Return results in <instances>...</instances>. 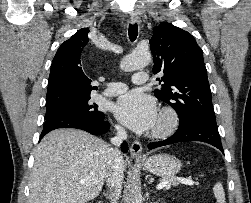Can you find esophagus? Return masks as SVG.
<instances>
[{
	"label": "esophagus",
	"instance_id": "34e87169",
	"mask_svg": "<svg viewBox=\"0 0 251 203\" xmlns=\"http://www.w3.org/2000/svg\"><path fill=\"white\" fill-rule=\"evenodd\" d=\"M130 21L132 24L138 23V22H140V17L136 13H131ZM130 155L132 158H135V159H142L143 158L142 144L139 141L135 140L131 143Z\"/></svg>",
	"mask_w": 251,
	"mask_h": 203
}]
</instances>
